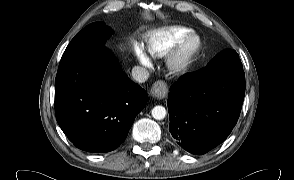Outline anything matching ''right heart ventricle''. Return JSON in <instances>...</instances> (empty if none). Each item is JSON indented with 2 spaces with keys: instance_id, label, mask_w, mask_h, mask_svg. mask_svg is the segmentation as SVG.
Segmentation results:
<instances>
[{
  "instance_id": "e07e8e85",
  "label": "right heart ventricle",
  "mask_w": 294,
  "mask_h": 180,
  "mask_svg": "<svg viewBox=\"0 0 294 180\" xmlns=\"http://www.w3.org/2000/svg\"><path fill=\"white\" fill-rule=\"evenodd\" d=\"M188 32L181 27H168L145 34L144 47L155 58H162L185 37Z\"/></svg>"
}]
</instances>
